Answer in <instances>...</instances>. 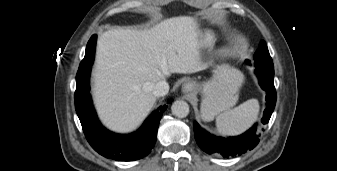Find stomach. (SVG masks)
Listing matches in <instances>:
<instances>
[{
    "mask_svg": "<svg viewBox=\"0 0 337 171\" xmlns=\"http://www.w3.org/2000/svg\"><path fill=\"white\" fill-rule=\"evenodd\" d=\"M212 80L199 84L194 83L195 90H201V118L212 120L219 113L233 107L238 100V91L243 83V74L232 67L223 66L214 71Z\"/></svg>",
    "mask_w": 337,
    "mask_h": 171,
    "instance_id": "stomach-1",
    "label": "stomach"
}]
</instances>
